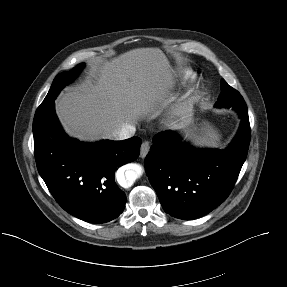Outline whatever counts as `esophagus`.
<instances>
[{
	"mask_svg": "<svg viewBox=\"0 0 287 287\" xmlns=\"http://www.w3.org/2000/svg\"><path fill=\"white\" fill-rule=\"evenodd\" d=\"M149 149H150V142L149 141H144L142 143V145H141V148H140V156L142 158L146 157V155L149 152Z\"/></svg>",
	"mask_w": 287,
	"mask_h": 287,
	"instance_id": "34e87169",
	"label": "esophagus"
}]
</instances>
